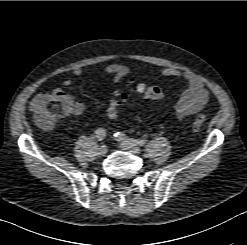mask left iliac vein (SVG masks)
<instances>
[{
	"label": "left iliac vein",
	"mask_w": 247,
	"mask_h": 245,
	"mask_svg": "<svg viewBox=\"0 0 247 245\" xmlns=\"http://www.w3.org/2000/svg\"><path fill=\"white\" fill-rule=\"evenodd\" d=\"M120 146L124 149V150H127L131 153H140L141 149L136 146V145H132V144H129V143H126V142H122L120 141Z\"/></svg>",
	"instance_id": "obj_1"
}]
</instances>
